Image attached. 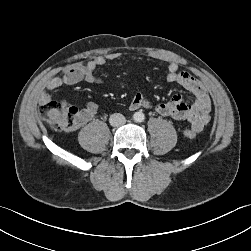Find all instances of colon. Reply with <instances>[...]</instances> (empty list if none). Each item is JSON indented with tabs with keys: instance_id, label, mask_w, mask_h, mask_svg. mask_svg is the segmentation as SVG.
<instances>
[{
	"instance_id": "colon-1",
	"label": "colon",
	"mask_w": 251,
	"mask_h": 251,
	"mask_svg": "<svg viewBox=\"0 0 251 251\" xmlns=\"http://www.w3.org/2000/svg\"><path fill=\"white\" fill-rule=\"evenodd\" d=\"M79 110L75 107L67 106L61 102L48 101L41 103L38 107V115L46 120L49 125L58 131H72L78 127ZM185 135L193 138L195 131L187 129Z\"/></svg>"
}]
</instances>
